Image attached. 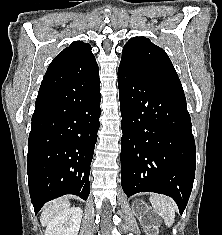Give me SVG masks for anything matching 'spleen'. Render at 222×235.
Returning <instances> with one entry per match:
<instances>
[{
  "instance_id": "3e777b00",
  "label": "spleen",
  "mask_w": 222,
  "mask_h": 235,
  "mask_svg": "<svg viewBox=\"0 0 222 235\" xmlns=\"http://www.w3.org/2000/svg\"><path fill=\"white\" fill-rule=\"evenodd\" d=\"M150 202L157 214L164 220L166 226H172L177 209L175 202L167 196L157 194L150 197Z\"/></svg>"
}]
</instances>
